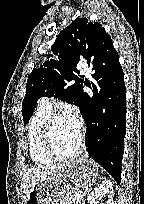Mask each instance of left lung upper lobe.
Here are the masks:
<instances>
[{"label":"left lung upper lobe","mask_w":144,"mask_h":204,"mask_svg":"<svg viewBox=\"0 0 144 204\" xmlns=\"http://www.w3.org/2000/svg\"><path fill=\"white\" fill-rule=\"evenodd\" d=\"M51 50L58 60L46 61L33 69L27 80L26 94L22 102L23 121L31 118L36 102L42 96L56 97L74 103L81 110L83 105V79L76 69L81 58L91 67L99 66L106 71L119 59L110 36L104 27L87 18H76L62 30ZM83 78V76H81ZM75 82L70 85V82Z\"/></svg>","instance_id":"obj_1"}]
</instances>
